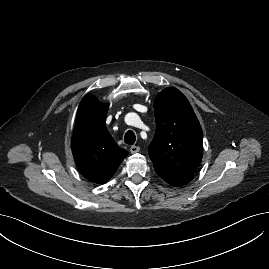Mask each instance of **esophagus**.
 Instances as JSON below:
<instances>
[{"label":"esophagus","mask_w":269,"mask_h":269,"mask_svg":"<svg viewBox=\"0 0 269 269\" xmlns=\"http://www.w3.org/2000/svg\"><path fill=\"white\" fill-rule=\"evenodd\" d=\"M139 150H140V148L138 146L133 145L130 147V152L132 154L139 152Z\"/></svg>","instance_id":"esophagus-1"}]
</instances>
